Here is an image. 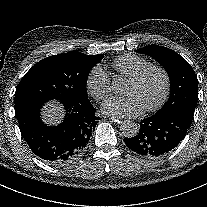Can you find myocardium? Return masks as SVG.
<instances>
[{"label": "myocardium", "mask_w": 207, "mask_h": 207, "mask_svg": "<svg viewBox=\"0 0 207 207\" xmlns=\"http://www.w3.org/2000/svg\"><path fill=\"white\" fill-rule=\"evenodd\" d=\"M152 71H157L163 76L164 90H163L162 96L157 101V103L154 104L153 106L143 110V114H150V113H154V112L158 111L166 103V101L169 97V94H170V90H171L170 74L164 67H162L160 65H150V66L144 68L143 70L138 72L136 75L129 78L128 82L132 83V84H139Z\"/></svg>", "instance_id": "1"}]
</instances>
